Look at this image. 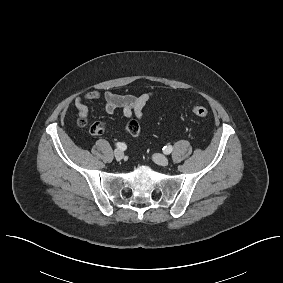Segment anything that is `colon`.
<instances>
[{
	"label": "colon",
	"mask_w": 283,
	"mask_h": 283,
	"mask_svg": "<svg viewBox=\"0 0 283 283\" xmlns=\"http://www.w3.org/2000/svg\"><path fill=\"white\" fill-rule=\"evenodd\" d=\"M192 112L194 115L200 118H205L208 116V110L200 105H195L192 108ZM106 123L104 122H96L91 126V132L95 135H101L105 131Z\"/></svg>",
	"instance_id": "obj_1"
}]
</instances>
